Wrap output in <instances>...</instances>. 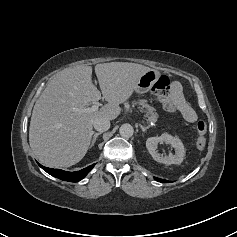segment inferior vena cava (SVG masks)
Masks as SVG:
<instances>
[{
    "instance_id": "602c4592",
    "label": "inferior vena cava",
    "mask_w": 237,
    "mask_h": 237,
    "mask_svg": "<svg viewBox=\"0 0 237 237\" xmlns=\"http://www.w3.org/2000/svg\"><path fill=\"white\" fill-rule=\"evenodd\" d=\"M95 130L99 132L107 131L110 128V120L106 117H99L93 121Z\"/></svg>"
}]
</instances>
